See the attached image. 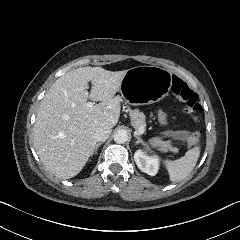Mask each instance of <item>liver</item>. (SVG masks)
Listing matches in <instances>:
<instances>
[{"mask_svg":"<svg viewBox=\"0 0 240 240\" xmlns=\"http://www.w3.org/2000/svg\"><path fill=\"white\" fill-rule=\"evenodd\" d=\"M126 72L80 67L59 77L49 88L36 117L34 147L53 175L68 179L77 174L96 145L97 128L117 123L120 97L114 95ZM88 100L99 103L87 107Z\"/></svg>","mask_w":240,"mask_h":240,"instance_id":"obj_1","label":"liver"}]
</instances>
